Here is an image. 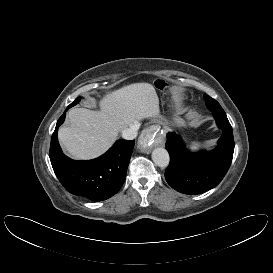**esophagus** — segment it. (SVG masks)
<instances>
[{
	"mask_svg": "<svg viewBox=\"0 0 273 273\" xmlns=\"http://www.w3.org/2000/svg\"><path fill=\"white\" fill-rule=\"evenodd\" d=\"M155 135H156V131H155V128L153 127L146 128L142 131L139 138V142L144 149L149 148L147 145L149 141H152L155 145L163 144L162 138H157L154 140Z\"/></svg>",
	"mask_w": 273,
	"mask_h": 273,
	"instance_id": "obj_1",
	"label": "esophagus"
}]
</instances>
